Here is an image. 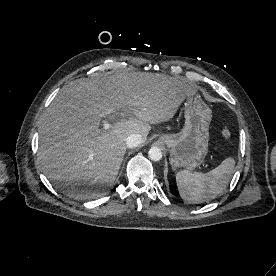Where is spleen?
I'll list each match as a JSON object with an SVG mask.
<instances>
[{"label":"spleen","mask_w":276,"mask_h":276,"mask_svg":"<svg viewBox=\"0 0 276 276\" xmlns=\"http://www.w3.org/2000/svg\"><path fill=\"white\" fill-rule=\"evenodd\" d=\"M235 160L226 158L207 173L179 171L176 183L181 198L189 203H201L214 199L226 189L232 177Z\"/></svg>","instance_id":"obj_1"}]
</instances>
